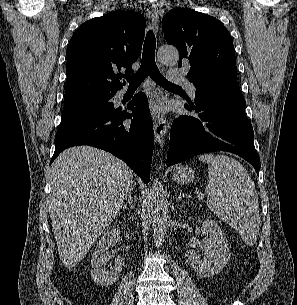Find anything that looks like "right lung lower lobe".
Masks as SVG:
<instances>
[{
	"mask_svg": "<svg viewBox=\"0 0 297 305\" xmlns=\"http://www.w3.org/2000/svg\"><path fill=\"white\" fill-rule=\"evenodd\" d=\"M126 108L132 114L120 106L92 112L60 127L55 136V152L51 163L61 151L69 147L90 145L122 159L148 183L154 132L146 95L138 93ZM127 119H131L130 124L125 122Z\"/></svg>",
	"mask_w": 297,
	"mask_h": 305,
	"instance_id": "98d812e1",
	"label": "right lung lower lobe"
}]
</instances>
